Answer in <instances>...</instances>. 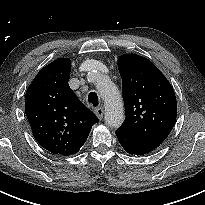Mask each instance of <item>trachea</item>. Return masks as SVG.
<instances>
[{
    "mask_svg": "<svg viewBox=\"0 0 205 205\" xmlns=\"http://www.w3.org/2000/svg\"><path fill=\"white\" fill-rule=\"evenodd\" d=\"M88 100L94 107L98 106L99 104L98 96L95 92L89 93Z\"/></svg>",
    "mask_w": 205,
    "mask_h": 205,
    "instance_id": "1",
    "label": "trachea"
}]
</instances>
